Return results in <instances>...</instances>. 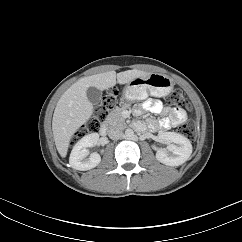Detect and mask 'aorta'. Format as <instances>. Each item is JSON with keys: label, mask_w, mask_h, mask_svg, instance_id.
Returning a JSON list of instances; mask_svg holds the SVG:
<instances>
[{"label": "aorta", "mask_w": 242, "mask_h": 242, "mask_svg": "<svg viewBox=\"0 0 242 242\" xmlns=\"http://www.w3.org/2000/svg\"><path fill=\"white\" fill-rule=\"evenodd\" d=\"M124 136L127 139H132L134 137V131L132 129H126Z\"/></svg>", "instance_id": "aorta-1"}]
</instances>
